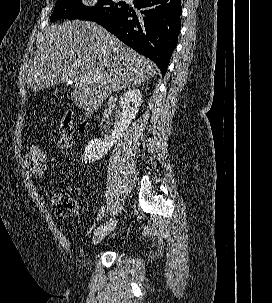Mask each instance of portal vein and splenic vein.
Instances as JSON below:
<instances>
[{"label":"portal vein and splenic vein","instance_id":"obj_1","mask_svg":"<svg viewBox=\"0 0 272 303\" xmlns=\"http://www.w3.org/2000/svg\"><path fill=\"white\" fill-rule=\"evenodd\" d=\"M88 79H89V78H87V77H81V80H80V81H81V82H87ZM90 79H92V80H98V77L95 76V77L90 78Z\"/></svg>","mask_w":272,"mask_h":303}]
</instances>
